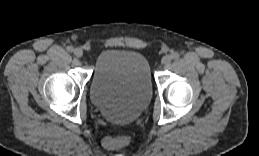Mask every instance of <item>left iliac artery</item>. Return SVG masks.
Instances as JSON below:
<instances>
[{
	"mask_svg": "<svg viewBox=\"0 0 259 156\" xmlns=\"http://www.w3.org/2000/svg\"><path fill=\"white\" fill-rule=\"evenodd\" d=\"M171 56H172L173 59H178L180 57V54L175 52Z\"/></svg>",
	"mask_w": 259,
	"mask_h": 156,
	"instance_id": "obj_1",
	"label": "left iliac artery"
}]
</instances>
